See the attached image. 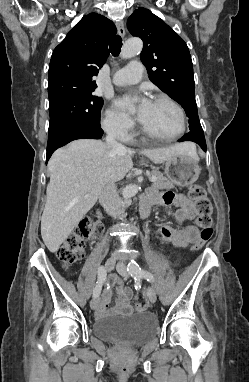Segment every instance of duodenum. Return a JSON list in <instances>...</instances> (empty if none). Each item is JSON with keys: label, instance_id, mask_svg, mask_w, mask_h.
Returning a JSON list of instances; mask_svg holds the SVG:
<instances>
[{"label": "duodenum", "instance_id": "410a0bca", "mask_svg": "<svg viewBox=\"0 0 249 382\" xmlns=\"http://www.w3.org/2000/svg\"><path fill=\"white\" fill-rule=\"evenodd\" d=\"M149 206H150V202L149 201L144 200V201L141 202V205H140V215H141L142 218H146L148 216Z\"/></svg>", "mask_w": 249, "mask_h": 382}]
</instances>
